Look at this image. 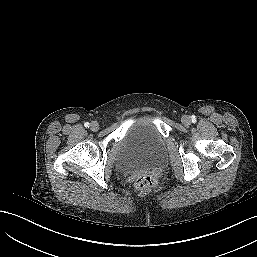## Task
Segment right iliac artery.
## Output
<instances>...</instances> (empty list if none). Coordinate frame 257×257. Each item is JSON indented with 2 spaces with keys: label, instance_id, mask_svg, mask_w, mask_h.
Returning <instances> with one entry per match:
<instances>
[{
  "label": "right iliac artery",
  "instance_id": "82829eb1",
  "mask_svg": "<svg viewBox=\"0 0 257 257\" xmlns=\"http://www.w3.org/2000/svg\"><path fill=\"white\" fill-rule=\"evenodd\" d=\"M84 126H85L86 128H89L90 124H89L88 122H86V123L84 124Z\"/></svg>",
  "mask_w": 257,
  "mask_h": 257
}]
</instances>
